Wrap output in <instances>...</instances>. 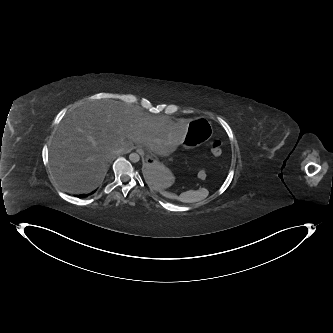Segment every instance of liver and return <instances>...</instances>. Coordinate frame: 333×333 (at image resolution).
<instances>
[{
    "label": "liver",
    "mask_w": 333,
    "mask_h": 333,
    "mask_svg": "<svg viewBox=\"0 0 333 333\" xmlns=\"http://www.w3.org/2000/svg\"><path fill=\"white\" fill-rule=\"evenodd\" d=\"M188 126L115 100H91L70 112L49 146L51 173L63 189L89 193L104 180L109 163L143 144L160 156L179 148Z\"/></svg>",
    "instance_id": "liver-1"
}]
</instances>
